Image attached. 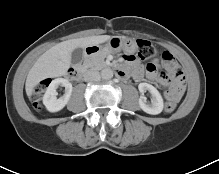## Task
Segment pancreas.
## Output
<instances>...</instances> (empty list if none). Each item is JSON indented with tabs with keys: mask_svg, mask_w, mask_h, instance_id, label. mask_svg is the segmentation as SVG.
Returning <instances> with one entry per match:
<instances>
[{
	"mask_svg": "<svg viewBox=\"0 0 219 174\" xmlns=\"http://www.w3.org/2000/svg\"><path fill=\"white\" fill-rule=\"evenodd\" d=\"M109 53L110 52H108V51H101V52L91 56L90 58L85 60L84 67L96 69V70L102 69L103 67L106 66L104 59L106 58V56Z\"/></svg>",
	"mask_w": 219,
	"mask_h": 174,
	"instance_id": "cf45deb5",
	"label": "pancreas"
}]
</instances>
